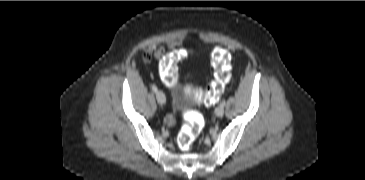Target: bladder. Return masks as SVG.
<instances>
[{"instance_id": "1", "label": "bladder", "mask_w": 365, "mask_h": 180, "mask_svg": "<svg viewBox=\"0 0 365 180\" xmlns=\"http://www.w3.org/2000/svg\"><path fill=\"white\" fill-rule=\"evenodd\" d=\"M172 108L178 113H186L188 111L194 110L197 105V99L192 92H189L185 88H176L173 91Z\"/></svg>"}]
</instances>
